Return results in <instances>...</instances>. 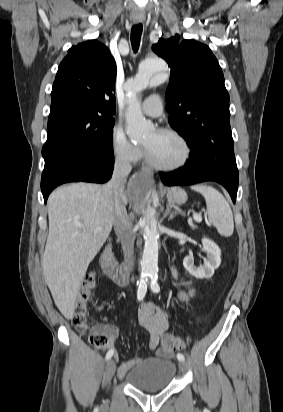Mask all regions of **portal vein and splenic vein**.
I'll return each mask as SVG.
<instances>
[{
    "label": "portal vein and splenic vein",
    "instance_id": "1",
    "mask_svg": "<svg viewBox=\"0 0 283 412\" xmlns=\"http://www.w3.org/2000/svg\"><path fill=\"white\" fill-rule=\"evenodd\" d=\"M193 219L196 221V222H198V223H200L201 221H202V217L200 216V215H198V214H193ZM99 229H97V231H98Z\"/></svg>",
    "mask_w": 283,
    "mask_h": 412
}]
</instances>
